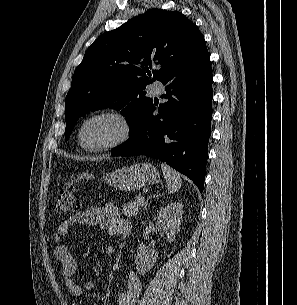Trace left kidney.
Returning a JSON list of instances; mask_svg holds the SVG:
<instances>
[{"mask_svg":"<svg viewBox=\"0 0 297 305\" xmlns=\"http://www.w3.org/2000/svg\"><path fill=\"white\" fill-rule=\"evenodd\" d=\"M183 205L180 202L168 204L161 209L157 217V225L166 233L170 242L175 240L180 231L182 221ZM158 258L155 250L141 243L137 248L136 269L139 274L144 275L156 263Z\"/></svg>","mask_w":297,"mask_h":305,"instance_id":"obj_1","label":"left kidney"}]
</instances>
